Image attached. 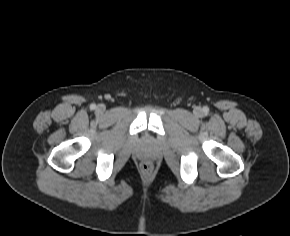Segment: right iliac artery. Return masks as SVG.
<instances>
[{"mask_svg": "<svg viewBox=\"0 0 290 236\" xmlns=\"http://www.w3.org/2000/svg\"><path fill=\"white\" fill-rule=\"evenodd\" d=\"M95 108H96V105H95V104H91V105H90V109H91V110H94Z\"/></svg>", "mask_w": 290, "mask_h": 236, "instance_id": "obj_1", "label": "right iliac artery"}]
</instances>
